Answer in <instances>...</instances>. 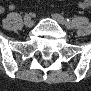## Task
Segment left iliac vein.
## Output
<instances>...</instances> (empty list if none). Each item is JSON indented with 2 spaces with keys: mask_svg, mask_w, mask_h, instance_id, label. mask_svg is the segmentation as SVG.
Segmentation results:
<instances>
[{
  "mask_svg": "<svg viewBox=\"0 0 91 91\" xmlns=\"http://www.w3.org/2000/svg\"><path fill=\"white\" fill-rule=\"evenodd\" d=\"M52 17H53V19L56 20L59 24L66 26V23H67V22H66V20L64 19V17L61 16L60 14H57V13L52 14ZM66 27H67V26H66Z\"/></svg>",
  "mask_w": 91,
  "mask_h": 91,
  "instance_id": "4c4485c4",
  "label": "left iliac vein"
}]
</instances>
